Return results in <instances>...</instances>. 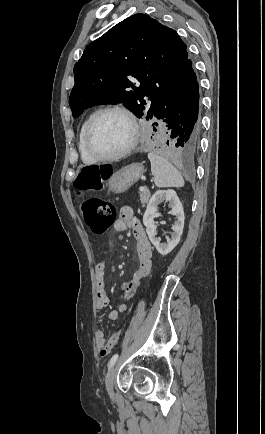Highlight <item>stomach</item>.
Here are the masks:
<instances>
[{
	"instance_id": "stomach-1",
	"label": "stomach",
	"mask_w": 265,
	"mask_h": 434,
	"mask_svg": "<svg viewBox=\"0 0 265 434\" xmlns=\"http://www.w3.org/2000/svg\"><path fill=\"white\" fill-rule=\"evenodd\" d=\"M143 172V164H130V166H125V168H121V170L112 174L111 178L108 180L107 186L110 192L122 194V192H126L130 186H133L135 182H138L139 178L143 176Z\"/></svg>"
}]
</instances>
